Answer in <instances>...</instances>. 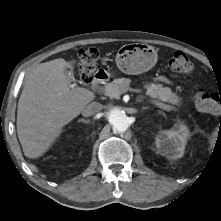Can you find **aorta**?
<instances>
[{"label":"aorta","mask_w":221,"mask_h":221,"mask_svg":"<svg viewBox=\"0 0 221 221\" xmlns=\"http://www.w3.org/2000/svg\"><path fill=\"white\" fill-rule=\"evenodd\" d=\"M107 120L112 125L113 130L118 133L125 132L130 125L128 116L119 108L111 109L107 114Z\"/></svg>","instance_id":"762f6f07"}]
</instances>
